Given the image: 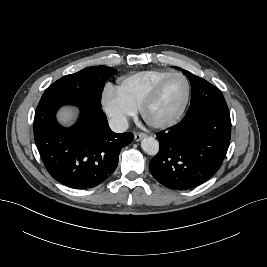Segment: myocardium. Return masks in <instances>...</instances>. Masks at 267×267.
Returning <instances> with one entry per match:
<instances>
[{
  "label": "myocardium",
  "instance_id": "myocardium-1",
  "mask_svg": "<svg viewBox=\"0 0 267 267\" xmlns=\"http://www.w3.org/2000/svg\"><path fill=\"white\" fill-rule=\"evenodd\" d=\"M175 77H180L185 81L186 84V95L184 98V101L180 107V109L177 111V113L172 116L171 118L164 120V121H159V122H155V121H151L148 119L147 117V113L148 110L151 108V106L156 102V100L158 99L163 87L165 86V84L171 80L172 78ZM190 95H191V84L190 81L188 80V78L182 74V73H171L168 76L164 77L163 79H161L155 86L154 88L151 90V92L149 93V95L145 98V100L142 102L140 108H139V112L140 115L143 119V121L150 127L154 128V129H166V128H170L174 125H176L183 117L187 106L189 104V100H190Z\"/></svg>",
  "mask_w": 267,
  "mask_h": 267
}]
</instances>
